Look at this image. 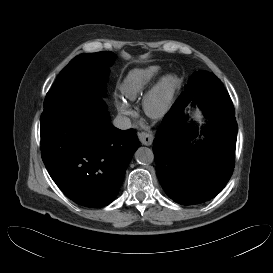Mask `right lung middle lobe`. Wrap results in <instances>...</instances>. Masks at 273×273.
Listing matches in <instances>:
<instances>
[{
	"mask_svg": "<svg viewBox=\"0 0 273 273\" xmlns=\"http://www.w3.org/2000/svg\"><path fill=\"white\" fill-rule=\"evenodd\" d=\"M114 59L115 54L110 51L83 53L73 58L47 93L44 107L58 98L78 91H90L105 96L109 66Z\"/></svg>",
	"mask_w": 273,
	"mask_h": 273,
	"instance_id": "dd1d6c3e",
	"label": "right lung middle lobe"
}]
</instances>
